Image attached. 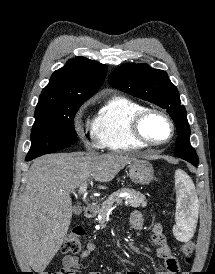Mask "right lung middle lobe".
<instances>
[{
  "label": "right lung middle lobe",
  "instance_id": "obj_1",
  "mask_svg": "<svg viewBox=\"0 0 215 274\" xmlns=\"http://www.w3.org/2000/svg\"><path fill=\"white\" fill-rule=\"evenodd\" d=\"M81 104L68 102L37 104L26 161L68 147L76 142L74 117Z\"/></svg>",
  "mask_w": 215,
  "mask_h": 274
}]
</instances>
